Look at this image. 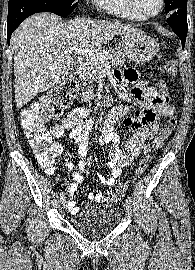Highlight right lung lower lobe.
Instances as JSON below:
<instances>
[{"label": "right lung lower lobe", "instance_id": "right-lung-lower-lobe-1", "mask_svg": "<svg viewBox=\"0 0 195 270\" xmlns=\"http://www.w3.org/2000/svg\"><path fill=\"white\" fill-rule=\"evenodd\" d=\"M39 12H55L49 0H9L7 17V41L9 44L12 32L28 16Z\"/></svg>", "mask_w": 195, "mask_h": 270}]
</instances>
